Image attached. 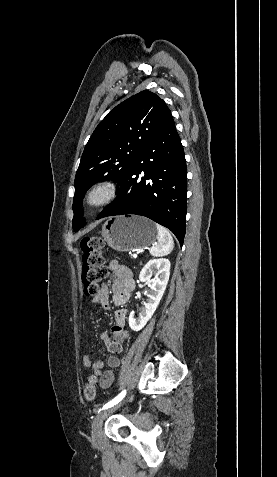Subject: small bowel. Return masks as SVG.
<instances>
[{"mask_svg":"<svg viewBox=\"0 0 277 477\" xmlns=\"http://www.w3.org/2000/svg\"><path fill=\"white\" fill-rule=\"evenodd\" d=\"M108 268L114 275L112 285V302L117 306L124 305L130 298L131 293L134 290L135 282L131 270L118 263L116 260H109ZM96 302H99L104 309H110L111 301L109 296V290L106 286L102 288L100 297ZM127 311L121 308L115 312V324L112 327L111 336L103 332L100 337L104 342L106 348L110 352L106 363L109 367L108 370L102 371L104 362L101 360L92 362L88 355L83 357V365L91 370L90 375L98 378L101 388L106 389L110 387L114 381L113 369L120 365V360L117 354L122 351L123 342L129 337V333L125 330Z\"/></svg>","mask_w":277,"mask_h":477,"instance_id":"obj_1","label":"small bowel"}]
</instances>
